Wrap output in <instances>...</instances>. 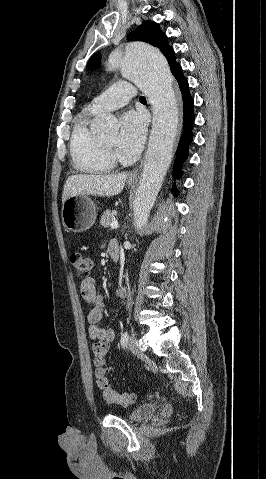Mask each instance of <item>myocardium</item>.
<instances>
[{"label": "myocardium", "instance_id": "myocardium-1", "mask_svg": "<svg viewBox=\"0 0 266 479\" xmlns=\"http://www.w3.org/2000/svg\"><path fill=\"white\" fill-rule=\"evenodd\" d=\"M102 143H103V145H104V147H105V149H106V151H107L108 156H109L114 162L119 161V160H120V155H119L117 149H116L113 145H111L110 143H108L106 140H104L103 138H102Z\"/></svg>", "mask_w": 266, "mask_h": 479}]
</instances>
